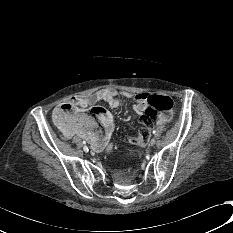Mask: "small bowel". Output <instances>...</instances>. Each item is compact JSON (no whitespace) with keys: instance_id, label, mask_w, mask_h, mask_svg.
Here are the masks:
<instances>
[{"instance_id":"obj_1","label":"small bowel","mask_w":233,"mask_h":233,"mask_svg":"<svg viewBox=\"0 0 233 233\" xmlns=\"http://www.w3.org/2000/svg\"><path fill=\"white\" fill-rule=\"evenodd\" d=\"M141 93L146 92H139L133 94L128 91H121L116 89H103L92 94L73 97L67 103L71 104L74 107L75 114H82V111L84 109L94 106L100 102H105L110 108H118L120 106V98H125L128 100H132L134 102V110L138 114H142L143 112L139 111L135 106V99ZM57 109L54 112V116L57 113ZM167 120V117L162 116L160 117L158 123L162 124ZM100 122L104 128L103 133H99L96 130V123H94V126L92 127L85 128L77 125V121H75L72 122L69 127H62L59 126L55 121L56 125L58 126L65 138L70 139L74 135H78L81 138H84L86 141H88L92 147V150L97 153L108 151L112 148L111 138L114 131V122L111 114L108 119H101ZM124 157L128 162L135 163L140 159L141 152L137 147L130 146L125 150Z\"/></svg>"}]
</instances>
